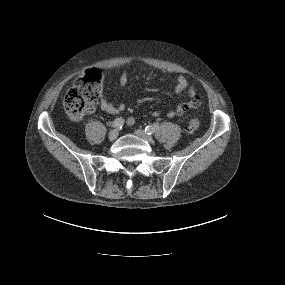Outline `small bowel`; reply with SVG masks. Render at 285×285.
I'll return each instance as SVG.
<instances>
[{"label": "small bowel", "instance_id": "obj_1", "mask_svg": "<svg viewBox=\"0 0 285 285\" xmlns=\"http://www.w3.org/2000/svg\"><path fill=\"white\" fill-rule=\"evenodd\" d=\"M129 81V73L127 70H124L119 78L118 85L120 88H124ZM187 91L189 99L187 102L179 104L175 109L169 110L166 112L168 118L182 117L188 111L196 109L200 105V96L196 91L195 87L189 85L187 78L184 75H179L176 79L175 93L181 94ZM100 108L102 111L110 114L117 115L121 113L125 108V103L114 104L107 99H103L100 102ZM153 116L157 117L160 115V112L155 110L153 111ZM128 125L134 124V119L129 118L127 121Z\"/></svg>", "mask_w": 285, "mask_h": 285}]
</instances>
